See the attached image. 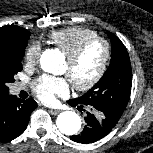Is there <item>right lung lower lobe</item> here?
<instances>
[{
  "instance_id": "right-lung-lower-lobe-1",
  "label": "right lung lower lobe",
  "mask_w": 153,
  "mask_h": 153,
  "mask_svg": "<svg viewBox=\"0 0 153 153\" xmlns=\"http://www.w3.org/2000/svg\"><path fill=\"white\" fill-rule=\"evenodd\" d=\"M36 107L37 103L33 99H16L9 92L0 94V142L10 141L21 135Z\"/></svg>"
}]
</instances>
